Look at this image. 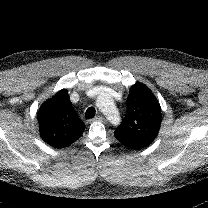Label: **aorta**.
<instances>
[{"label": "aorta", "instance_id": "aorta-1", "mask_svg": "<svg viewBox=\"0 0 208 208\" xmlns=\"http://www.w3.org/2000/svg\"><path fill=\"white\" fill-rule=\"evenodd\" d=\"M97 107L110 119L114 120L118 118V111L113 102V99L106 92H101L96 101Z\"/></svg>", "mask_w": 208, "mask_h": 208}]
</instances>
